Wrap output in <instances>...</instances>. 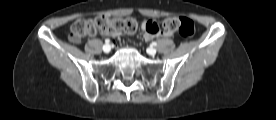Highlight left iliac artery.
Masks as SVG:
<instances>
[{
  "label": "left iliac artery",
  "mask_w": 276,
  "mask_h": 120,
  "mask_svg": "<svg viewBox=\"0 0 276 120\" xmlns=\"http://www.w3.org/2000/svg\"><path fill=\"white\" fill-rule=\"evenodd\" d=\"M152 46H156L157 45V42H152V44H151Z\"/></svg>",
  "instance_id": "1"
}]
</instances>
